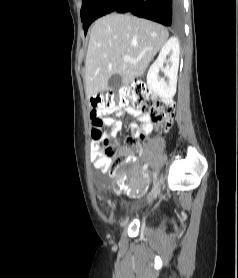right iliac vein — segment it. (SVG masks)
<instances>
[{"mask_svg":"<svg viewBox=\"0 0 238 278\" xmlns=\"http://www.w3.org/2000/svg\"><path fill=\"white\" fill-rule=\"evenodd\" d=\"M158 168H155L154 174H157ZM152 184H155V180H157L158 175H151Z\"/></svg>","mask_w":238,"mask_h":278,"instance_id":"right-iliac-vein-1","label":"right iliac vein"}]
</instances>
